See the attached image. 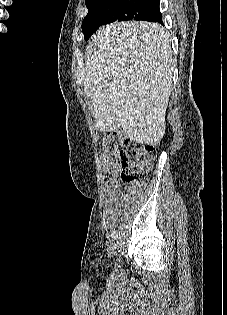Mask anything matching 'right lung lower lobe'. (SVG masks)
Instances as JSON below:
<instances>
[{"instance_id": "right-lung-lower-lobe-1", "label": "right lung lower lobe", "mask_w": 227, "mask_h": 315, "mask_svg": "<svg viewBox=\"0 0 227 315\" xmlns=\"http://www.w3.org/2000/svg\"><path fill=\"white\" fill-rule=\"evenodd\" d=\"M161 17H162V15H161V13H160V9H159V6H158V9H157L156 15H155V22L162 23Z\"/></svg>"}]
</instances>
